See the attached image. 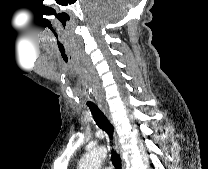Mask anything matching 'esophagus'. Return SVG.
<instances>
[{"label":"esophagus","instance_id":"1","mask_svg":"<svg viewBox=\"0 0 208 169\" xmlns=\"http://www.w3.org/2000/svg\"><path fill=\"white\" fill-rule=\"evenodd\" d=\"M102 110H103V112L106 114V110H105L104 108H102ZM106 115H107V117L110 119V115H108V114H106ZM116 145H117L118 151L121 152V145H120V142H119L118 137H116ZM122 169H126L125 163H124V162L122 163Z\"/></svg>","mask_w":208,"mask_h":169}]
</instances>
